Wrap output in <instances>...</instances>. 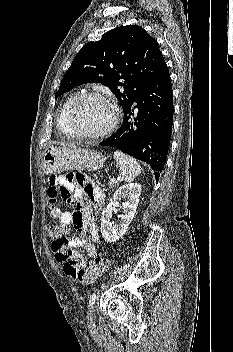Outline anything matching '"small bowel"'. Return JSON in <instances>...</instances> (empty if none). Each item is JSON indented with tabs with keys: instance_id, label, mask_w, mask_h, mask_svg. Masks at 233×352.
Returning a JSON list of instances; mask_svg holds the SVG:
<instances>
[{
	"instance_id": "obj_1",
	"label": "small bowel",
	"mask_w": 233,
	"mask_h": 352,
	"mask_svg": "<svg viewBox=\"0 0 233 352\" xmlns=\"http://www.w3.org/2000/svg\"><path fill=\"white\" fill-rule=\"evenodd\" d=\"M47 195L53 222L63 226L66 231L74 230L65 247L54 241L52 251L55 259L63 264L65 274L76 278L77 273L86 265L85 255L79 249H84L89 257L95 258V243L99 240L98 226L90 219L91 206L84 198L89 199L96 209L102 204L104 194L85 175L69 172L50 178ZM59 198L67 205L73 204L74 209L63 211L58 206Z\"/></svg>"
}]
</instances>
